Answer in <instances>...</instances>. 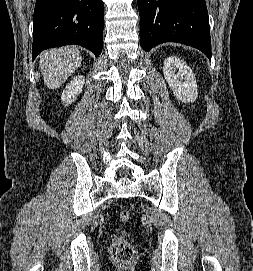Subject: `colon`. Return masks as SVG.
<instances>
[{
	"label": "colon",
	"instance_id": "5ec220e1",
	"mask_svg": "<svg viewBox=\"0 0 253 271\" xmlns=\"http://www.w3.org/2000/svg\"><path fill=\"white\" fill-rule=\"evenodd\" d=\"M131 213L129 210H122L119 213V219L121 222L126 223L130 220ZM113 257L121 262H130L135 254L133 245L128 239V233L125 230L120 231L114 238L112 243Z\"/></svg>",
	"mask_w": 253,
	"mask_h": 271
}]
</instances>
